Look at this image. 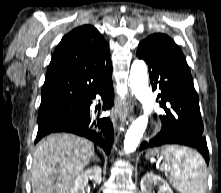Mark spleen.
Returning a JSON list of instances; mask_svg holds the SVG:
<instances>
[{"instance_id":"obj_1","label":"spleen","mask_w":221,"mask_h":193,"mask_svg":"<svg viewBox=\"0 0 221 193\" xmlns=\"http://www.w3.org/2000/svg\"><path fill=\"white\" fill-rule=\"evenodd\" d=\"M156 150L164 151L169 181L178 192L206 193V165L197 151L190 146H157Z\"/></svg>"}]
</instances>
